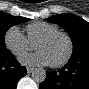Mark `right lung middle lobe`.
Masks as SVG:
<instances>
[{"instance_id":"1","label":"right lung middle lobe","mask_w":89,"mask_h":89,"mask_svg":"<svg viewBox=\"0 0 89 89\" xmlns=\"http://www.w3.org/2000/svg\"><path fill=\"white\" fill-rule=\"evenodd\" d=\"M29 21L28 18L14 17L4 12H0V53L7 52L6 45L4 42V36L6 31L13 25L21 22Z\"/></svg>"}]
</instances>
